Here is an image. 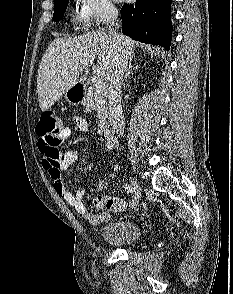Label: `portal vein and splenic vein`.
I'll list each match as a JSON object with an SVG mask.
<instances>
[{
	"label": "portal vein and splenic vein",
	"instance_id": "18ae733b",
	"mask_svg": "<svg viewBox=\"0 0 233 294\" xmlns=\"http://www.w3.org/2000/svg\"><path fill=\"white\" fill-rule=\"evenodd\" d=\"M96 92H103L105 90V82L101 79H97L94 83Z\"/></svg>",
	"mask_w": 233,
	"mask_h": 294
}]
</instances>
